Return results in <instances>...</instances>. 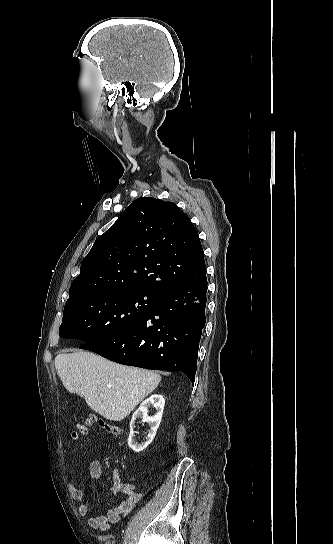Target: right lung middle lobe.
<instances>
[{
	"label": "right lung middle lobe",
	"mask_w": 333,
	"mask_h": 544,
	"mask_svg": "<svg viewBox=\"0 0 333 544\" xmlns=\"http://www.w3.org/2000/svg\"><path fill=\"white\" fill-rule=\"evenodd\" d=\"M158 299L146 291H109L71 301L65 304L59 335L83 340L84 348L133 326Z\"/></svg>",
	"instance_id": "obj_1"
}]
</instances>
